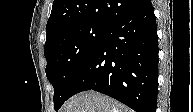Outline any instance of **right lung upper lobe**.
<instances>
[{
  "instance_id": "cb5924a9",
  "label": "right lung upper lobe",
  "mask_w": 193,
  "mask_h": 112,
  "mask_svg": "<svg viewBox=\"0 0 193 112\" xmlns=\"http://www.w3.org/2000/svg\"><path fill=\"white\" fill-rule=\"evenodd\" d=\"M146 0H54L48 19L47 40L60 30L79 23L109 27L139 8Z\"/></svg>"
}]
</instances>
